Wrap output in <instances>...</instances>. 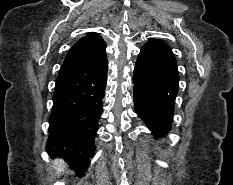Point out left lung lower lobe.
<instances>
[{
	"mask_svg": "<svg viewBox=\"0 0 233 185\" xmlns=\"http://www.w3.org/2000/svg\"><path fill=\"white\" fill-rule=\"evenodd\" d=\"M178 81L176 59L169 46L149 40L134 69V104L137 115L158 138L170 129Z\"/></svg>",
	"mask_w": 233,
	"mask_h": 185,
	"instance_id": "obj_1",
	"label": "left lung lower lobe"
}]
</instances>
